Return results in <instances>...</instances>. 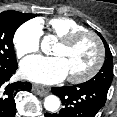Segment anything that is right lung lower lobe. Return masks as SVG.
I'll use <instances>...</instances> for the list:
<instances>
[{"label":"right lung lower lobe","mask_w":117,"mask_h":117,"mask_svg":"<svg viewBox=\"0 0 117 117\" xmlns=\"http://www.w3.org/2000/svg\"><path fill=\"white\" fill-rule=\"evenodd\" d=\"M18 68V64L0 66V117H14L16 105L14 97L20 90L30 91L29 82H9Z\"/></svg>","instance_id":"right-lung-lower-lobe-1"}]
</instances>
